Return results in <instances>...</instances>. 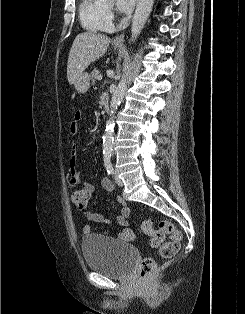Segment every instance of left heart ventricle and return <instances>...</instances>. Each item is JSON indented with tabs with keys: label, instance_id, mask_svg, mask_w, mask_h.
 I'll return each mask as SVG.
<instances>
[{
	"label": "left heart ventricle",
	"instance_id": "b2bd125f",
	"mask_svg": "<svg viewBox=\"0 0 245 314\" xmlns=\"http://www.w3.org/2000/svg\"><path fill=\"white\" fill-rule=\"evenodd\" d=\"M111 6H112V4H108V5H107V7H111Z\"/></svg>",
	"mask_w": 245,
	"mask_h": 314
}]
</instances>
